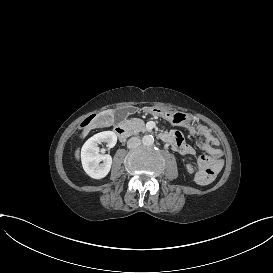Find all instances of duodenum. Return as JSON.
I'll return each mask as SVG.
<instances>
[{"label": "duodenum", "instance_id": "duodenum-1", "mask_svg": "<svg viewBox=\"0 0 273 273\" xmlns=\"http://www.w3.org/2000/svg\"><path fill=\"white\" fill-rule=\"evenodd\" d=\"M115 133L117 134V136L120 140H124L127 138L128 134H129V130H128L127 126H125L124 124H120L115 128ZM160 137L165 142L169 141V138L166 134H161Z\"/></svg>", "mask_w": 273, "mask_h": 273}]
</instances>
